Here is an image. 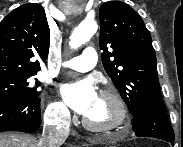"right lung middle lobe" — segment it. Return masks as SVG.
I'll list each match as a JSON object with an SVG mask.
<instances>
[{
    "instance_id": "right-lung-middle-lobe-1",
    "label": "right lung middle lobe",
    "mask_w": 183,
    "mask_h": 147,
    "mask_svg": "<svg viewBox=\"0 0 183 147\" xmlns=\"http://www.w3.org/2000/svg\"><path fill=\"white\" fill-rule=\"evenodd\" d=\"M35 74L0 79V98L4 97H38L40 92L37 88L40 82L36 79L33 81Z\"/></svg>"
}]
</instances>
